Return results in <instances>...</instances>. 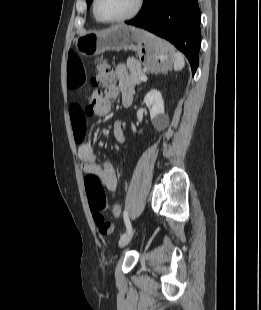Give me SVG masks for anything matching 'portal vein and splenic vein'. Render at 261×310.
Returning <instances> with one entry per match:
<instances>
[{"label": "portal vein and splenic vein", "instance_id": "portal-vein-and-splenic-vein-1", "mask_svg": "<svg viewBox=\"0 0 261 310\" xmlns=\"http://www.w3.org/2000/svg\"><path fill=\"white\" fill-rule=\"evenodd\" d=\"M140 79H141L142 81H147V76H146V75H143Z\"/></svg>", "mask_w": 261, "mask_h": 310}]
</instances>
